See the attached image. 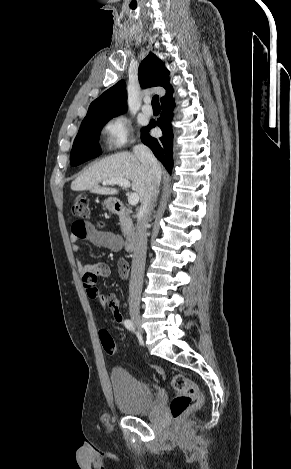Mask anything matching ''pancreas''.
I'll list each match as a JSON object with an SVG mask.
<instances>
[{
  "mask_svg": "<svg viewBox=\"0 0 291 469\" xmlns=\"http://www.w3.org/2000/svg\"><path fill=\"white\" fill-rule=\"evenodd\" d=\"M120 226L125 237L130 238L134 236V227L128 212L120 216Z\"/></svg>",
  "mask_w": 291,
  "mask_h": 469,
  "instance_id": "1",
  "label": "pancreas"
}]
</instances>
